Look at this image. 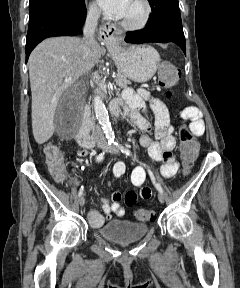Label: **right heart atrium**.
I'll use <instances>...</instances> for the list:
<instances>
[{"label":"right heart atrium","mask_w":240,"mask_h":288,"mask_svg":"<svg viewBox=\"0 0 240 288\" xmlns=\"http://www.w3.org/2000/svg\"><path fill=\"white\" fill-rule=\"evenodd\" d=\"M88 13L92 18H98L100 15V10L95 3H90L88 6Z\"/></svg>","instance_id":"d8ad5b80"}]
</instances>
